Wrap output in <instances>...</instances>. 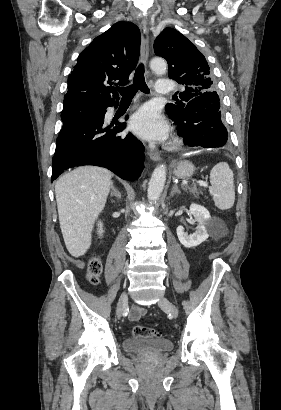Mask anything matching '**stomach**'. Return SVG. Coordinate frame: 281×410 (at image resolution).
<instances>
[{
    "label": "stomach",
    "mask_w": 281,
    "mask_h": 410,
    "mask_svg": "<svg viewBox=\"0 0 281 410\" xmlns=\"http://www.w3.org/2000/svg\"><path fill=\"white\" fill-rule=\"evenodd\" d=\"M195 171L194 165L189 161H181L174 168V175L177 178L185 179L193 175Z\"/></svg>",
    "instance_id": "0dacf381"
}]
</instances>
